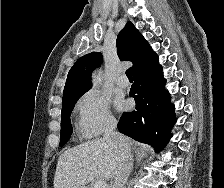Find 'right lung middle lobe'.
I'll use <instances>...</instances> for the list:
<instances>
[{"mask_svg":"<svg viewBox=\"0 0 224 188\" xmlns=\"http://www.w3.org/2000/svg\"><path fill=\"white\" fill-rule=\"evenodd\" d=\"M79 92L63 97L62 113H61V134H60V146H63L70 138L72 134V126L70 124V115L77 100L85 93Z\"/></svg>","mask_w":224,"mask_h":188,"instance_id":"obj_1","label":"right lung middle lobe"}]
</instances>
